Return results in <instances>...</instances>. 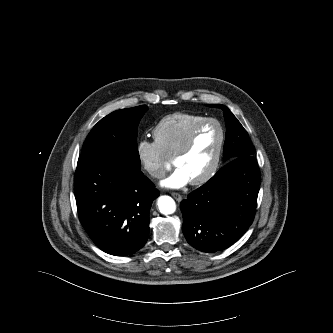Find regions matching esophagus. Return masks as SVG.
<instances>
[{
	"mask_svg": "<svg viewBox=\"0 0 333 333\" xmlns=\"http://www.w3.org/2000/svg\"><path fill=\"white\" fill-rule=\"evenodd\" d=\"M172 196L178 201L181 202L182 201V196L178 193L173 192Z\"/></svg>",
	"mask_w": 333,
	"mask_h": 333,
	"instance_id": "esophagus-1",
	"label": "esophagus"
}]
</instances>
